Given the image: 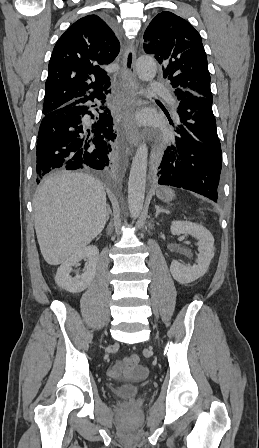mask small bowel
<instances>
[{
  "mask_svg": "<svg viewBox=\"0 0 259 448\" xmlns=\"http://www.w3.org/2000/svg\"><path fill=\"white\" fill-rule=\"evenodd\" d=\"M148 369L145 366H132L128 357L118 360L107 374L112 378L140 379L147 375Z\"/></svg>",
  "mask_w": 259,
  "mask_h": 448,
  "instance_id": "obj_1",
  "label": "small bowel"
}]
</instances>
